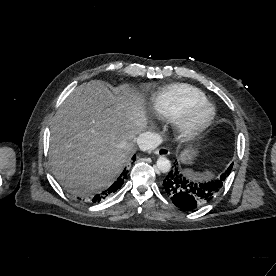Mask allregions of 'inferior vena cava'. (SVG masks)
<instances>
[{"mask_svg": "<svg viewBox=\"0 0 276 276\" xmlns=\"http://www.w3.org/2000/svg\"><path fill=\"white\" fill-rule=\"evenodd\" d=\"M161 142V136L154 132H144L136 138L137 145L143 151L153 150L157 148Z\"/></svg>", "mask_w": 276, "mask_h": 276, "instance_id": "1", "label": "inferior vena cava"}]
</instances>
